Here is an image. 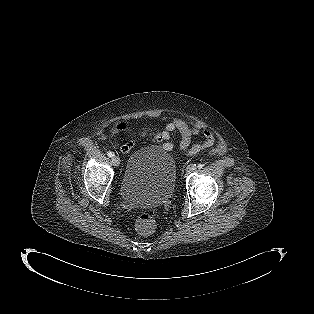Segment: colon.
Returning a JSON list of instances; mask_svg holds the SVG:
<instances>
[{"instance_id": "colon-1", "label": "colon", "mask_w": 314, "mask_h": 314, "mask_svg": "<svg viewBox=\"0 0 314 314\" xmlns=\"http://www.w3.org/2000/svg\"><path fill=\"white\" fill-rule=\"evenodd\" d=\"M137 231L144 236H150L155 230V220L147 213L141 214L136 220Z\"/></svg>"}]
</instances>
